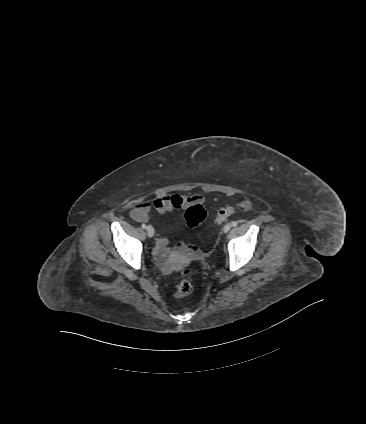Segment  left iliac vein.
<instances>
[{
	"mask_svg": "<svg viewBox=\"0 0 366 424\" xmlns=\"http://www.w3.org/2000/svg\"><path fill=\"white\" fill-rule=\"evenodd\" d=\"M231 227H232V225L231 224H226L224 227H223V231L225 232V233H227L230 229H231Z\"/></svg>",
	"mask_w": 366,
	"mask_h": 424,
	"instance_id": "obj_1",
	"label": "left iliac vein"
}]
</instances>
